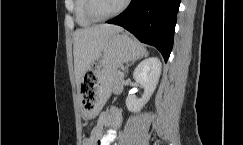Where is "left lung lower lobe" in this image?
Instances as JSON below:
<instances>
[{
    "label": "left lung lower lobe",
    "mask_w": 243,
    "mask_h": 145,
    "mask_svg": "<svg viewBox=\"0 0 243 145\" xmlns=\"http://www.w3.org/2000/svg\"><path fill=\"white\" fill-rule=\"evenodd\" d=\"M179 5L180 0H131L126 10L108 23L120 25L141 42L155 46L167 61Z\"/></svg>",
    "instance_id": "0a47b994"
}]
</instances>
